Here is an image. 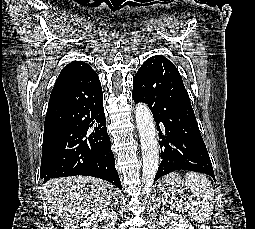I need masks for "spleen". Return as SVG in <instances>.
<instances>
[{"label": "spleen", "instance_id": "1", "mask_svg": "<svg viewBox=\"0 0 255 229\" xmlns=\"http://www.w3.org/2000/svg\"><path fill=\"white\" fill-rule=\"evenodd\" d=\"M186 183L190 187L196 200L192 203L183 198L170 197L164 194L165 200L174 208L187 212L195 221L200 223L209 222L214 210V189L205 175L196 172L186 173Z\"/></svg>", "mask_w": 255, "mask_h": 229}]
</instances>
